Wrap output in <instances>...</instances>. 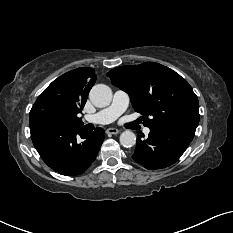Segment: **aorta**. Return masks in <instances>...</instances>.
<instances>
[{
    "mask_svg": "<svg viewBox=\"0 0 233 233\" xmlns=\"http://www.w3.org/2000/svg\"><path fill=\"white\" fill-rule=\"evenodd\" d=\"M89 97L96 107H106L111 103L112 90L105 84H97L92 87ZM120 143L124 147H132L136 144V135L126 130L120 135Z\"/></svg>",
    "mask_w": 233,
    "mask_h": 233,
    "instance_id": "1",
    "label": "aorta"
}]
</instances>
